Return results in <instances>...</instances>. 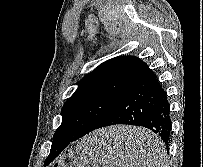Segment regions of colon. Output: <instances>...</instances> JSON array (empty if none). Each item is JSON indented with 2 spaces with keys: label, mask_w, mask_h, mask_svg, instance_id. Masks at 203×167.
Masks as SVG:
<instances>
[{
  "label": "colon",
  "mask_w": 203,
  "mask_h": 167,
  "mask_svg": "<svg viewBox=\"0 0 203 167\" xmlns=\"http://www.w3.org/2000/svg\"><path fill=\"white\" fill-rule=\"evenodd\" d=\"M54 167H98L92 161L74 151L66 152Z\"/></svg>",
  "instance_id": "colon-1"
}]
</instances>
